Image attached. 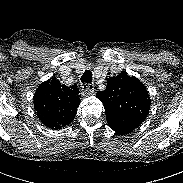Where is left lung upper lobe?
<instances>
[{"instance_id": "obj_1", "label": "left lung upper lobe", "mask_w": 183, "mask_h": 183, "mask_svg": "<svg viewBox=\"0 0 183 183\" xmlns=\"http://www.w3.org/2000/svg\"><path fill=\"white\" fill-rule=\"evenodd\" d=\"M96 97L104 104L109 126L135 129L150 110L151 99L146 88L126 72L108 79L106 89L97 92Z\"/></svg>"}]
</instances>
